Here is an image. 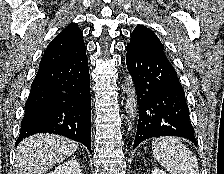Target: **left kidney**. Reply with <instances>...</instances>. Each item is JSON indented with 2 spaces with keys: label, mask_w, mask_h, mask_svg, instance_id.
Here are the masks:
<instances>
[{
  "label": "left kidney",
  "mask_w": 224,
  "mask_h": 174,
  "mask_svg": "<svg viewBox=\"0 0 224 174\" xmlns=\"http://www.w3.org/2000/svg\"><path fill=\"white\" fill-rule=\"evenodd\" d=\"M152 174H166V173L163 170H160V169L155 168L152 171Z\"/></svg>",
  "instance_id": "obj_1"
}]
</instances>
